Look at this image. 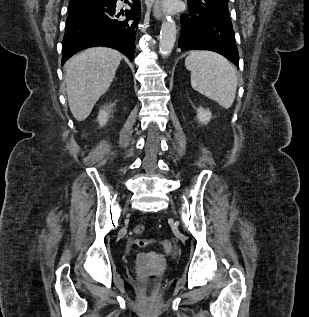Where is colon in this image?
Masks as SVG:
<instances>
[{
    "label": "colon",
    "instance_id": "5ec220e1",
    "mask_svg": "<svg viewBox=\"0 0 309 317\" xmlns=\"http://www.w3.org/2000/svg\"><path fill=\"white\" fill-rule=\"evenodd\" d=\"M145 230V227L144 225L142 224H137L134 226L133 228V232L134 234L136 235H140L144 232ZM152 241L150 240H146V239H135L134 240V244L138 247H146L148 246L149 244H151ZM163 248L166 250V251H171L172 250V244L168 241V240H163L161 242Z\"/></svg>",
    "mask_w": 309,
    "mask_h": 317
}]
</instances>
